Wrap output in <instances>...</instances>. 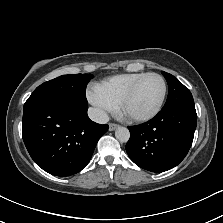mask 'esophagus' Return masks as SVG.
I'll use <instances>...</instances> for the list:
<instances>
[{"label":"esophagus","instance_id":"34e87169","mask_svg":"<svg viewBox=\"0 0 223 223\" xmlns=\"http://www.w3.org/2000/svg\"><path fill=\"white\" fill-rule=\"evenodd\" d=\"M119 125L115 124V123H110L109 124V131H113L115 130Z\"/></svg>","mask_w":223,"mask_h":223}]
</instances>
